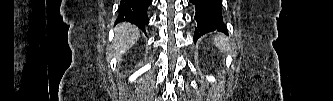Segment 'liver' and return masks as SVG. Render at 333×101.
Wrapping results in <instances>:
<instances>
[{"label":"liver","mask_w":333,"mask_h":101,"mask_svg":"<svg viewBox=\"0 0 333 101\" xmlns=\"http://www.w3.org/2000/svg\"><path fill=\"white\" fill-rule=\"evenodd\" d=\"M140 33L136 26L130 23H120L115 28L114 54L121 56L126 53L139 39Z\"/></svg>","instance_id":"obj_1"}]
</instances>
